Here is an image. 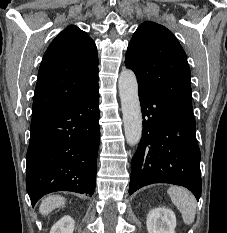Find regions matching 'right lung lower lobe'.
Masks as SVG:
<instances>
[{
    "label": "right lung lower lobe",
    "mask_w": 227,
    "mask_h": 233,
    "mask_svg": "<svg viewBox=\"0 0 227 233\" xmlns=\"http://www.w3.org/2000/svg\"><path fill=\"white\" fill-rule=\"evenodd\" d=\"M98 85L33 119L27 151L26 188L34 206L55 191L95 190L100 141Z\"/></svg>",
    "instance_id": "right-lung-lower-lobe-1"
}]
</instances>
